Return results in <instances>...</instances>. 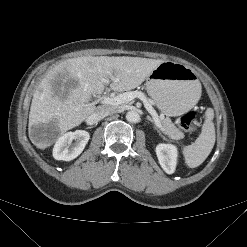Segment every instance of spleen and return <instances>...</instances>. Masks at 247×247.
<instances>
[{
  "mask_svg": "<svg viewBox=\"0 0 247 247\" xmlns=\"http://www.w3.org/2000/svg\"><path fill=\"white\" fill-rule=\"evenodd\" d=\"M213 117V110L208 109L206 111V119L201 134L193 144L183 148L185 162L190 168H195L201 165L213 149L216 138L215 127L212 122Z\"/></svg>",
  "mask_w": 247,
  "mask_h": 247,
  "instance_id": "spleen-1",
  "label": "spleen"
}]
</instances>
